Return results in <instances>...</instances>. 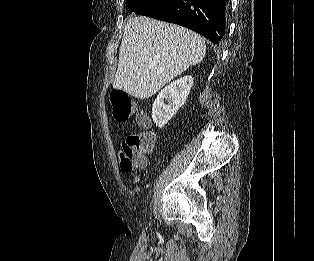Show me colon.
I'll return each instance as SVG.
<instances>
[{"label":"colon","instance_id":"obj_1","mask_svg":"<svg viewBox=\"0 0 314 261\" xmlns=\"http://www.w3.org/2000/svg\"><path fill=\"white\" fill-rule=\"evenodd\" d=\"M110 102L113 108L112 114L116 121L126 122L132 116H136L141 126L148 123V117L139 111L136 103L123 89H113L110 93ZM154 145L155 136L149 131L131 133L126 136L120 152L122 169L127 173L138 169L142 164L143 156L152 151Z\"/></svg>","mask_w":314,"mask_h":261}]
</instances>
